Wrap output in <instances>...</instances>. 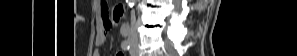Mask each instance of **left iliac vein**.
<instances>
[{
    "label": "left iliac vein",
    "mask_w": 297,
    "mask_h": 56,
    "mask_svg": "<svg viewBox=\"0 0 297 56\" xmlns=\"http://www.w3.org/2000/svg\"><path fill=\"white\" fill-rule=\"evenodd\" d=\"M130 54H131V56H138V48H137L136 42L131 43Z\"/></svg>",
    "instance_id": "4c4485c4"
}]
</instances>
